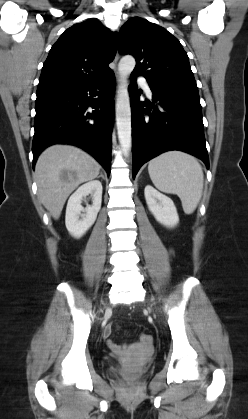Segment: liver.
Returning a JSON list of instances; mask_svg holds the SVG:
<instances>
[{
  "label": "liver",
  "instance_id": "liver-1",
  "mask_svg": "<svg viewBox=\"0 0 248 419\" xmlns=\"http://www.w3.org/2000/svg\"><path fill=\"white\" fill-rule=\"evenodd\" d=\"M99 172L100 164L82 149L50 146L41 153L35 166L38 198L57 220L68 196L80 184L95 179Z\"/></svg>",
  "mask_w": 248,
  "mask_h": 419
}]
</instances>
